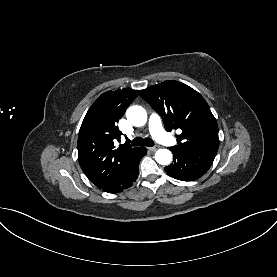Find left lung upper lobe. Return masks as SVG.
I'll return each instance as SVG.
<instances>
[{"mask_svg": "<svg viewBox=\"0 0 277 277\" xmlns=\"http://www.w3.org/2000/svg\"><path fill=\"white\" fill-rule=\"evenodd\" d=\"M140 96L163 118L167 131L180 128L178 145L171 149L218 150V126L204 98L178 81H165L144 89Z\"/></svg>", "mask_w": 277, "mask_h": 277, "instance_id": "5c2ea615", "label": "left lung upper lobe"}]
</instances>
